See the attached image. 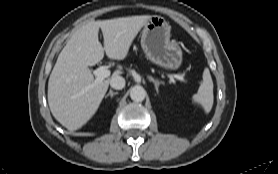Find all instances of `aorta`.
<instances>
[{"mask_svg":"<svg viewBox=\"0 0 278 174\" xmlns=\"http://www.w3.org/2000/svg\"><path fill=\"white\" fill-rule=\"evenodd\" d=\"M130 97L135 102H142L146 97V91L142 86H134L130 90Z\"/></svg>","mask_w":278,"mask_h":174,"instance_id":"aorta-1","label":"aorta"}]
</instances>
